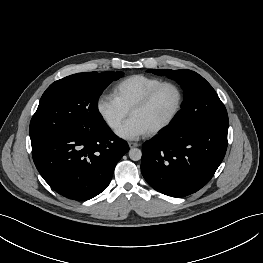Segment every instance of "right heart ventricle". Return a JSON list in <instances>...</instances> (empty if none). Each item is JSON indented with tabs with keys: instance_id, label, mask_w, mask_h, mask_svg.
<instances>
[{
	"instance_id": "1",
	"label": "right heart ventricle",
	"mask_w": 263,
	"mask_h": 263,
	"mask_svg": "<svg viewBox=\"0 0 263 263\" xmlns=\"http://www.w3.org/2000/svg\"><path fill=\"white\" fill-rule=\"evenodd\" d=\"M162 79L147 75H132L116 83L112 89L113 97L127 110L140 100Z\"/></svg>"
}]
</instances>
